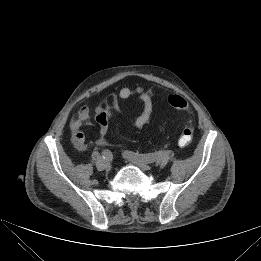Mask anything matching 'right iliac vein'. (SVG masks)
<instances>
[{
  "label": "right iliac vein",
  "instance_id": "obj_1",
  "mask_svg": "<svg viewBox=\"0 0 261 261\" xmlns=\"http://www.w3.org/2000/svg\"><path fill=\"white\" fill-rule=\"evenodd\" d=\"M105 170L109 171L112 168V163L110 161H105L104 163Z\"/></svg>",
  "mask_w": 261,
  "mask_h": 261
}]
</instances>
